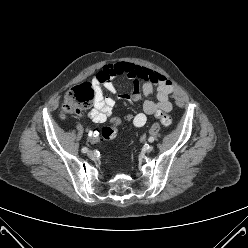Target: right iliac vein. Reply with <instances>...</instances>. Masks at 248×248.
I'll list each match as a JSON object with an SVG mask.
<instances>
[{"instance_id": "1", "label": "right iliac vein", "mask_w": 248, "mask_h": 248, "mask_svg": "<svg viewBox=\"0 0 248 248\" xmlns=\"http://www.w3.org/2000/svg\"><path fill=\"white\" fill-rule=\"evenodd\" d=\"M87 155H88L89 158H93L94 157V153L91 150H88L87 151Z\"/></svg>"}]
</instances>
